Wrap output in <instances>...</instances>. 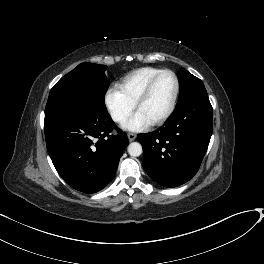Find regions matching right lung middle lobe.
Here are the masks:
<instances>
[{
	"label": "right lung middle lobe",
	"instance_id": "1",
	"mask_svg": "<svg viewBox=\"0 0 264 264\" xmlns=\"http://www.w3.org/2000/svg\"><path fill=\"white\" fill-rule=\"evenodd\" d=\"M107 66L82 63L63 76L51 89L45 117L84 107L106 110Z\"/></svg>",
	"mask_w": 264,
	"mask_h": 264
}]
</instances>
